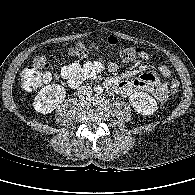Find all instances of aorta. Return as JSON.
I'll list each match as a JSON object with an SVG mask.
<instances>
[{
	"label": "aorta",
	"instance_id": "obj_1",
	"mask_svg": "<svg viewBox=\"0 0 195 195\" xmlns=\"http://www.w3.org/2000/svg\"><path fill=\"white\" fill-rule=\"evenodd\" d=\"M102 89H98V92L101 93Z\"/></svg>",
	"mask_w": 195,
	"mask_h": 195
}]
</instances>
